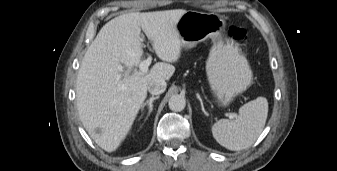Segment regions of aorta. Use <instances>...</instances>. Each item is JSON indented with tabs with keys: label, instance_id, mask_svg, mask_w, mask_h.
<instances>
[{
	"label": "aorta",
	"instance_id": "obj_1",
	"mask_svg": "<svg viewBox=\"0 0 337 171\" xmlns=\"http://www.w3.org/2000/svg\"><path fill=\"white\" fill-rule=\"evenodd\" d=\"M168 105L172 111L180 112L185 108L186 100L182 95H172L169 99Z\"/></svg>",
	"mask_w": 337,
	"mask_h": 171
}]
</instances>
